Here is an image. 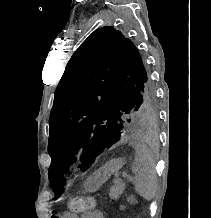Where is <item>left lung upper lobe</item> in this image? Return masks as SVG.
<instances>
[{
    "label": "left lung upper lobe",
    "mask_w": 211,
    "mask_h": 218,
    "mask_svg": "<svg viewBox=\"0 0 211 218\" xmlns=\"http://www.w3.org/2000/svg\"><path fill=\"white\" fill-rule=\"evenodd\" d=\"M156 117L154 88L133 42L111 26L90 34L69 60L50 114L48 175L56 197L63 192L62 168L80 148L85 171L130 127L145 128Z\"/></svg>",
    "instance_id": "left-lung-upper-lobe-1"
}]
</instances>
